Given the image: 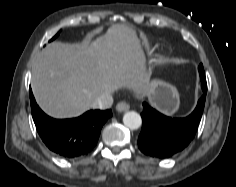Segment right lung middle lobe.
Returning a JSON list of instances; mask_svg holds the SVG:
<instances>
[{
  "instance_id": "1",
  "label": "right lung middle lobe",
  "mask_w": 236,
  "mask_h": 187,
  "mask_svg": "<svg viewBox=\"0 0 236 187\" xmlns=\"http://www.w3.org/2000/svg\"><path fill=\"white\" fill-rule=\"evenodd\" d=\"M58 35H59V32L56 34V36H55V37H53V38H52V40H53V39H55V38H56Z\"/></svg>"
}]
</instances>
